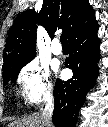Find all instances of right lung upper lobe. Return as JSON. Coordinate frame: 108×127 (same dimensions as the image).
<instances>
[{
  "instance_id": "1",
  "label": "right lung upper lobe",
  "mask_w": 108,
  "mask_h": 127,
  "mask_svg": "<svg viewBox=\"0 0 108 127\" xmlns=\"http://www.w3.org/2000/svg\"><path fill=\"white\" fill-rule=\"evenodd\" d=\"M93 19L95 12L88 0H44L39 14L27 10L15 20L7 37L3 66L34 58L36 24L51 37L57 29H63L69 39Z\"/></svg>"
}]
</instances>
